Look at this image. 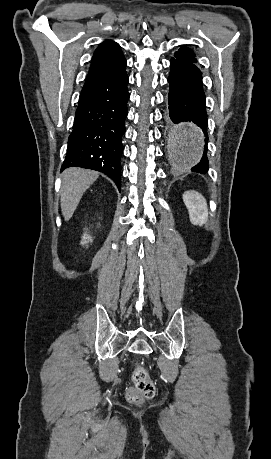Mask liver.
<instances>
[{"label":"liver","mask_w":271,"mask_h":459,"mask_svg":"<svg viewBox=\"0 0 271 459\" xmlns=\"http://www.w3.org/2000/svg\"><path fill=\"white\" fill-rule=\"evenodd\" d=\"M98 172L68 168L62 174L61 210L65 222L72 218L84 192L96 182Z\"/></svg>","instance_id":"liver-1"}]
</instances>
